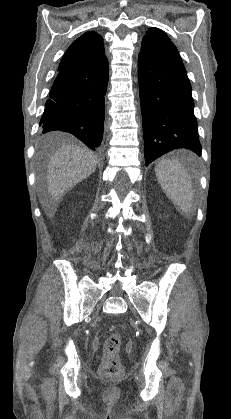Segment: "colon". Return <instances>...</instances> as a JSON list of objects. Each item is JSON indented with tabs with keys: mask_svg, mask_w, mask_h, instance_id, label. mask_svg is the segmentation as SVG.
<instances>
[{
	"mask_svg": "<svg viewBox=\"0 0 231 419\" xmlns=\"http://www.w3.org/2000/svg\"><path fill=\"white\" fill-rule=\"evenodd\" d=\"M121 347L120 335L113 333L107 337L104 344V358L100 367V374L105 377L118 375L122 370L119 358Z\"/></svg>",
	"mask_w": 231,
	"mask_h": 419,
	"instance_id": "1",
	"label": "colon"
}]
</instances>
